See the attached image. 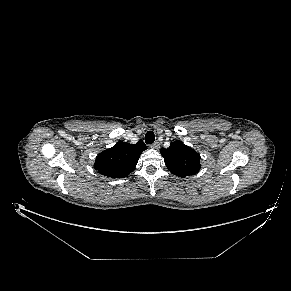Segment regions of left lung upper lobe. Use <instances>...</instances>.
I'll use <instances>...</instances> for the list:
<instances>
[{
	"label": "left lung upper lobe",
	"instance_id": "obj_1",
	"mask_svg": "<svg viewBox=\"0 0 291 291\" xmlns=\"http://www.w3.org/2000/svg\"><path fill=\"white\" fill-rule=\"evenodd\" d=\"M160 153L168 170L178 177L194 175L201 168L200 155L180 140L172 142L167 149L161 148Z\"/></svg>",
	"mask_w": 291,
	"mask_h": 291
}]
</instances>
